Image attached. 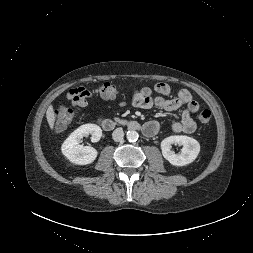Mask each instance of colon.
<instances>
[{
  "label": "colon",
  "instance_id": "obj_1",
  "mask_svg": "<svg viewBox=\"0 0 253 253\" xmlns=\"http://www.w3.org/2000/svg\"><path fill=\"white\" fill-rule=\"evenodd\" d=\"M96 92L105 99H111L116 97L120 93V88L110 82H105L100 85ZM75 112L73 109L61 106L54 111V128L57 131L66 129L73 121ZM198 121L202 125L209 124L211 120V112L207 109L202 110L198 114Z\"/></svg>",
  "mask_w": 253,
  "mask_h": 253
}]
</instances>
